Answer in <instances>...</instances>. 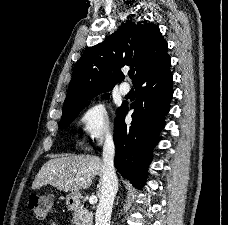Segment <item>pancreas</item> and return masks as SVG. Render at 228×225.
Returning a JSON list of instances; mask_svg holds the SVG:
<instances>
[{
    "label": "pancreas",
    "instance_id": "cf45deb5",
    "mask_svg": "<svg viewBox=\"0 0 228 225\" xmlns=\"http://www.w3.org/2000/svg\"><path fill=\"white\" fill-rule=\"evenodd\" d=\"M73 225H93V213L83 207H77L73 213Z\"/></svg>",
    "mask_w": 228,
    "mask_h": 225
}]
</instances>
